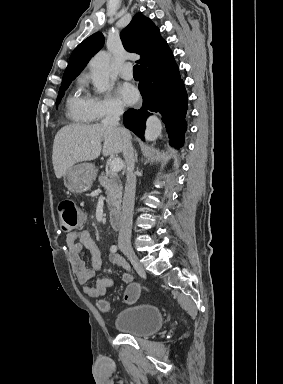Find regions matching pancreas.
<instances>
[{"mask_svg": "<svg viewBox=\"0 0 283 384\" xmlns=\"http://www.w3.org/2000/svg\"><path fill=\"white\" fill-rule=\"evenodd\" d=\"M101 186L105 188L107 194V206L110 210V216L118 214L121 210L122 202V186L118 182V174H111V172H101L98 178Z\"/></svg>", "mask_w": 283, "mask_h": 384, "instance_id": "obj_1", "label": "pancreas"}]
</instances>
